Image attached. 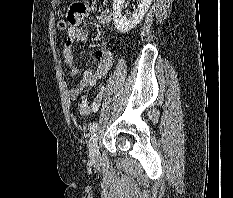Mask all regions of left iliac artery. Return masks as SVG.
Returning a JSON list of instances; mask_svg holds the SVG:
<instances>
[{"label":"left iliac artery","instance_id":"obj_1","mask_svg":"<svg viewBox=\"0 0 233 198\" xmlns=\"http://www.w3.org/2000/svg\"><path fill=\"white\" fill-rule=\"evenodd\" d=\"M103 90V88H102ZM98 128V123H92V125L90 126V132L91 134H93Z\"/></svg>","mask_w":233,"mask_h":198}]
</instances>
